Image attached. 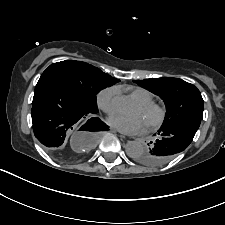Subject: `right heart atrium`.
Returning a JSON list of instances; mask_svg holds the SVG:
<instances>
[{
  "label": "right heart atrium",
  "instance_id": "1",
  "mask_svg": "<svg viewBox=\"0 0 225 225\" xmlns=\"http://www.w3.org/2000/svg\"><path fill=\"white\" fill-rule=\"evenodd\" d=\"M117 90L115 87H108L101 90L96 96V103L100 110L110 115L115 112Z\"/></svg>",
  "mask_w": 225,
  "mask_h": 225
}]
</instances>
